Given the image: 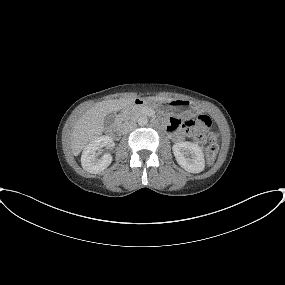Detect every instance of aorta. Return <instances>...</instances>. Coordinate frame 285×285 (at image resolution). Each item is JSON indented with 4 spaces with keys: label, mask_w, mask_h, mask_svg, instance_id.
<instances>
[{
    "label": "aorta",
    "mask_w": 285,
    "mask_h": 285,
    "mask_svg": "<svg viewBox=\"0 0 285 285\" xmlns=\"http://www.w3.org/2000/svg\"><path fill=\"white\" fill-rule=\"evenodd\" d=\"M137 122H138L139 126H145L148 123V119L145 116H141L138 118Z\"/></svg>",
    "instance_id": "obj_1"
}]
</instances>
